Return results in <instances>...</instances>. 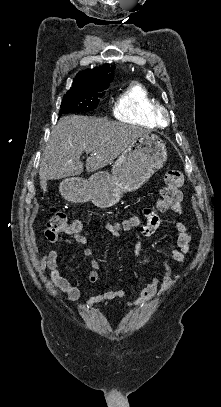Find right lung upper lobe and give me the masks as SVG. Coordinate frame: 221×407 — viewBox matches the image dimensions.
Wrapping results in <instances>:
<instances>
[{
	"label": "right lung upper lobe",
	"mask_w": 221,
	"mask_h": 407,
	"mask_svg": "<svg viewBox=\"0 0 221 407\" xmlns=\"http://www.w3.org/2000/svg\"><path fill=\"white\" fill-rule=\"evenodd\" d=\"M115 66L104 64L99 69H87L79 72L69 91H94L107 89L113 80Z\"/></svg>",
	"instance_id": "1"
}]
</instances>
